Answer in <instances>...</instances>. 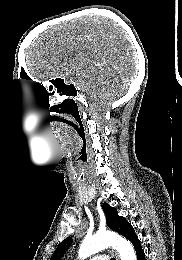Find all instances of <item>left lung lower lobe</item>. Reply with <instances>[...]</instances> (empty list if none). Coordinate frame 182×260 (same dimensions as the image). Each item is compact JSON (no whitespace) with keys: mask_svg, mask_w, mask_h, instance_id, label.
Returning a JSON list of instances; mask_svg holds the SVG:
<instances>
[{"mask_svg":"<svg viewBox=\"0 0 182 260\" xmlns=\"http://www.w3.org/2000/svg\"><path fill=\"white\" fill-rule=\"evenodd\" d=\"M125 237L133 244V246L136 250L137 256H138V260H145L144 251L141 247L140 241H139L134 229L132 228Z\"/></svg>","mask_w":182,"mask_h":260,"instance_id":"left-lung-lower-lobe-1","label":"left lung lower lobe"}]
</instances>
